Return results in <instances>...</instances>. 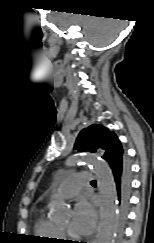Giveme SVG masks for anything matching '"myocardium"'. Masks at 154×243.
<instances>
[{"label": "myocardium", "instance_id": "myocardium-1", "mask_svg": "<svg viewBox=\"0 0 154 243\" xmlns=\"http://www.w3.org/2000/svg\"><path fill=\"white\" fill-rule=\"evenodd\" d=\"M59 230H60V233H61L62 236L66 237L68 235L67 230H64V229H62L60 227H59Z\"/></svg>", "mask_w": 154, "mask_h": 243}]
</instances>
